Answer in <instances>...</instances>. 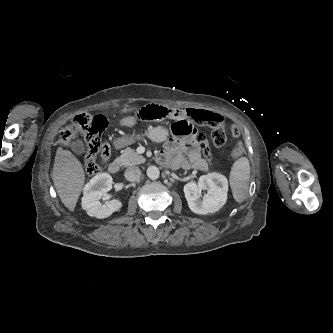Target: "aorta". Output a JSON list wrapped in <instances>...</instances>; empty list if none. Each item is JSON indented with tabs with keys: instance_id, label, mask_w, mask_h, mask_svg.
I'll return each instance as SVG.
<instances>
[{
	"instance_id": "762f6f07",
	"label": "aorta",
	"mask_w": 333,
	"mask_h": 333,
	"mask_svg": "<svg viewBox=\"0 0 333 333\" xmlns=\"http://www.w3.org/2000/svg\"><path fill=\"white\" fill-rule=\"evenodd\" d=\"M147 176L152 180H156L160 176V171L156 166H149L147 169Z\"/></svg>"
}]
</instances>
